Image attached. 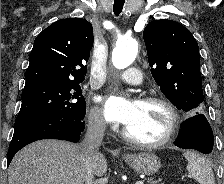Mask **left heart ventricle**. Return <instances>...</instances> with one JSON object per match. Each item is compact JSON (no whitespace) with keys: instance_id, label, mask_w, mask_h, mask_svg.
<instances>
[{"instance_id":"b2bd125f","label":"left heart ventricle","mask_w":224,"mask_h":184,"mask_svg":"<svg viewBox=\"0 0 224 184\" xmlns=\"http://www.w3.org/2000/svg\"><path fill=\"white\" fill-rule=\"evenodd\" d=\"M169 120V114L163 106L138 102L137 112L126 127L139 140L157 141L165 135Z\"/></svg>"}]
</instances>
